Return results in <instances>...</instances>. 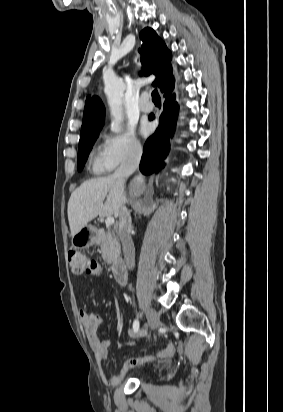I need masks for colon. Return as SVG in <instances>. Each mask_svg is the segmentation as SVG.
Listing matches in <instances>:
<instances>
[{"label": "colon", "mask_w": 283, "mask_h": 412, "mask_svg": "<svg viewBox=\"0 0 283 412\" xmlns=\"http://www.w3.org/2000/svg\"><path fill=\"white\" fill-rule=\"evenodd\" d=\"M68 264L72 274L80 276L96 270L98 263L95 260H87L82 254L70 251Z\"/></svg>", "instance_id": "obj_1"}]
</instances>
